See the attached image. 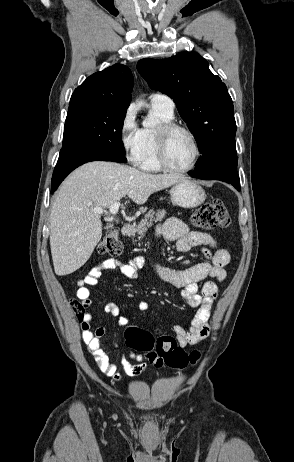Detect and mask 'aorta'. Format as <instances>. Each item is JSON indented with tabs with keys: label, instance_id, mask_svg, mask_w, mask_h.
Returning a JSON list of instances; mask_svg holds the SVG:
<instances>
[{
	"label": "aorta",
	"instance_id": "762f6f07",
	"mask_svg": "<svg viewBox=\"0 0 294 462\" xmlns=\"http://www.w3.org/2000/svg\"><path fill=\"white\" fill-rule=\"evenodd\" d=\"M143 125H144L145 127H152V126L155 125V122H154L153 120L148 119V120H144V121H143Z\"/></svg>",
	"mask_w": 294,
	"mask_h": 462
}]
</instances>
